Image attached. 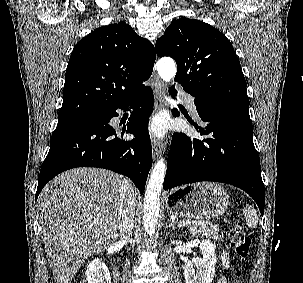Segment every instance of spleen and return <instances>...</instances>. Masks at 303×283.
<instances>
[{
  "instance_id": "spleen-1",
  "label": "spleen",
  "mask_w": 303,
  "mask_h": 283,
  "mask_svg": "<svg viewBox=\"0 0 303 283\" xmlns=\"http://www.w3.org/2000/svg\"><path fill=\"white\" fill-rule=\"evenodd\" d=\"M243 216L247 226L250 228H255L258 225V215L252 206H245L243 209Z\"/></svg>"
}]
</instances>
